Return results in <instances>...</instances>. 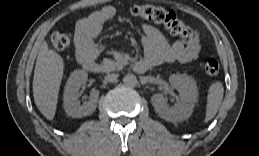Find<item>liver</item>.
Wrapping results in <instances>:
<instances>
[{"label":"liver","mask_w":259,"mask_h":156,"mask_svg":"<svg viewBox=\"0 0 259 156\" xmlns=\"http://www.w3.org/2000/svg\"><path fill=\"white\" fill-rule=\"evenodd\" d=\"M63 71L62 57L43 41L34 69L33 97L37 108L48 120H53L56 113Z\"/></svg>","instance_id":"liver-1"}]
</instances>
